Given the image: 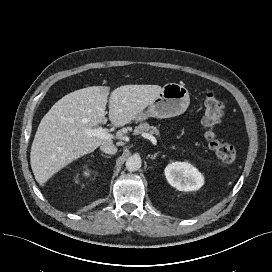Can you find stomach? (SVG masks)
Listing matches in <instances>:
<instances>
[{"instance_id":"0dacf381","label":"stomach","mask_w":272,"mask_h":272,"mask_svg":"<svg viewBox=\"0 0 272 272\" xmlns=\"http://www.w3.org/2000/svg\"><path fill=\"white\" fill-rule=\"evenodd\" d=\"M189 103V91L184 85L167 83L149 105L147 111L139 113L135 120L142 121L148 117L158 119L175 117L184 113Z\"/></svg>"}]
</instances>
